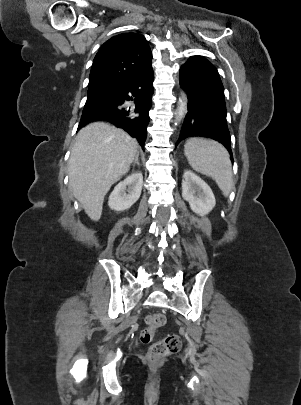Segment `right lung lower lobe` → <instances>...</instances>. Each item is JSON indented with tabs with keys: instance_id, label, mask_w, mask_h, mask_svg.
Wrapping results in <instances>:
<instances>
[{
	"instance_id": "98d812e1",
	"label": "right lung lower lobe",
	"mask_w": 301,
	"mask_h": 405,
	"mask_svg": "<svg viewBox=\"0 0 301 405\" xmlns=\"http://www.w3.org/2000/svg\"><path fill=\"white\" fill-rule=\"evenodd\" d=\"M154 73L150 62L139 74L127 82L109 101L84 109L78 129L93 121H108L135 137L142 148L147 137L149 110L152 104ZM134 101V107L123 106Z\"/></svg>"
}]
</instances>
